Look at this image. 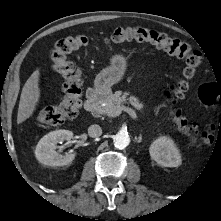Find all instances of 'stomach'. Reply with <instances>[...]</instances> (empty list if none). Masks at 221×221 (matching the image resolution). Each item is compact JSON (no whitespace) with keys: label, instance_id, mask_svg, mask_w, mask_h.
<instances>
[{"label":"stomach","instance_id":"stomach-1","mask_svg":"<svg viewBox=\"0 0 221 221\" xmlns=\"http://www.w3.org/2000/svg\"><path fill=\"white\" fill-rule=\"evenodd\" d=\"M125 70L126 59L121 54L114 55L110 60V66L96 76L95 88L102 92L108 91L123 78Z\"/></svg>","mask_w":221,"mask_h":221}]
</instances>
